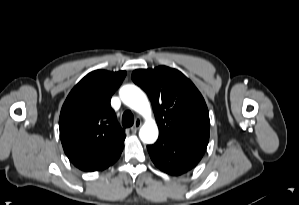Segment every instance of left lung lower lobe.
<instances>
[{
  "instance_id": "0a47b994",
  "label": "left lung lower lobe",
  "mask_w": 299,
  "mask_h": 205,
  "mask_svg": "<svg viewBox=\"0 0 299 205\" xmlns=\"http://www.w3.org/2000/svg\"><path fill=\"white\" fill-rule=\"evenodd\" d=\"M208 142L183 138V137H159L153 145L147 149L153 163L163 172L177 176L193 167L201 160L206 151Z\"/></svg>"
}]
</instances>
